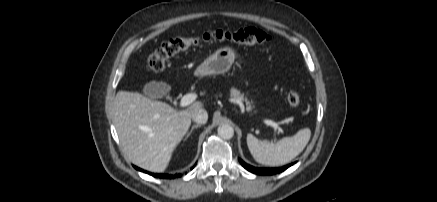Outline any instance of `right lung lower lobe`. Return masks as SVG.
<instances>
[{
  "label": "right lung lower lobe",
  "instance_id": "98d812e1",
  "mask_svg": "<svg viewBox=\"0 0 437 202\" xmlns=\"http://www.w3.org/2000/svg\"><path fill=\"white\" fill-rule=\"evenodd\" d=\"M135 167V166H134ZM137 170H139V171H142V172H145V173H148V174H150V175H152L153 177H159V178H174L175 176H173V175H168V174H154V173H150V172H147V171H144V170H142V169H140V168H138V167H135ZM180 176V175H179Z\"/></svg>",
  "mask_w": 437,
  "mask_h": 202
}]
</instances>
